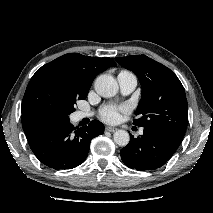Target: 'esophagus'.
Segmentation results:
<instances>
[{"instance_id": "obj_1", "label": "esophagus", "mask_w": 213, "mask_h": 213, "mask_svg": "<svg viewBox=\"0 0 213 213\" xmlns=\"http://www.w3.org/2000/svg\"><path fill=\"white\" fill-rule=\"evenodd\" d=\"M105 130H106V131H109V132H115V131H117V128H114V127H106Z\"/></svg>"}]
</instances>
